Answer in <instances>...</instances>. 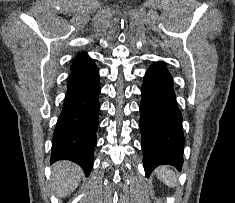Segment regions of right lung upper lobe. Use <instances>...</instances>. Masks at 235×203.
Returning <instances> with one entry per match:
<instances>
[{"label":"right lung upper lobe","instance_id":"obj_1","mask_svg":"<svg viewBox=\"0 0 235 203\" xmlns=\"http://www.w3.org/2000/svg\"><path fill=\"white\" fill-rule=\"evenodd\" d=\"M89 60V57L86 55V53L81 52L78 54V56L74 59V62L72 64V66L70 67V69H74L77 66L81 65L82 63L86 62Z\"/></svg>","mask_w":235,"mask_h":203}]
</instances>
